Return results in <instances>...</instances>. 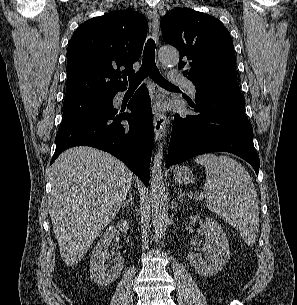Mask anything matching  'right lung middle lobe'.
<instances>
[{
	"mask_svg": "<svg viewBox=\"0 0 297 305\" xmlns=\"http://www.w3.org/2000/svg\"><path fill=\"white\" fill-rule=\"evenodd\" d=\"M113 94H96L65 102L62 125L93 110L111 107Z\"/></svg>",
	"mask_w": 297,
	"mask_h": 305,
	"instance_id": "right-lung-middle-lobe-1",
	"label": "right lung middle lobe"
}]
</instances>
